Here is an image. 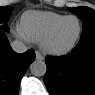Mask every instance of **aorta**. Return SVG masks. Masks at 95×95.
<instances>
[{"label":"aorta","mask_w":95,"mask_h":95,"mask_svg":"<svg viewBox=\"0 0 95 95\" xmlns=\"http://www.w3.org/2000/svg\"><path fill=\"white\" fill-rule=\"evenodd\" d=\"M47 67L46 63L42 60H35L30 65V72L32 75L40 77L46 74Z\"/></svg>","instance_id":"1"}]
</instances>
